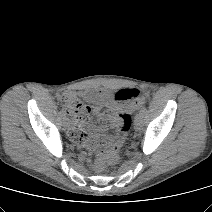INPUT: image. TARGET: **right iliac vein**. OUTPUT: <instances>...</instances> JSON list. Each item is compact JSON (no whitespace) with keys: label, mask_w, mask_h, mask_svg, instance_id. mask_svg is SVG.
Here are the masks:
<instances>
[{"label":"right iliac vein","mask_w":212,"mask_h":212,"mask_svg":"<svg viewBox=\"0 0 212 212\" xmlns=\"http://www.w3.org/2000/svg\"><path fill=\"white\" fill-rule=\"evenodd\" d=\"M63 124L66 128H69L70 125H71V122L68 118L65 117L64 120H63Z\"/></svg>","instance_id":"1"}]
</instances>
